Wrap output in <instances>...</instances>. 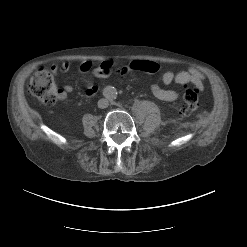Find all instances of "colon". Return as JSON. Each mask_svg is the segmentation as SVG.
Masks as SVG:
<instances>
[{
	"label": "colon",
	"mask_w": 247,
	"mask_h": 247,
	"mask_svg": "<svg viewBox=\"0 0 247 247\" xmlns=\"http://www.w3.org/2000/svg\"><path fill=\"white\" fill-rule=\"evenodd\" d=\"M112 63L105 61L91 72L93 79L109 76L112 73ZM28 90L31 95L47 105H54L59 97V91L54 82L53 75L46 69H40L33 74L29 81ZM199 106L198 91L184 88L178 111L184 116L193 114Z\"/></svg>",
	"instance_id": "1"
}]
</instances>
